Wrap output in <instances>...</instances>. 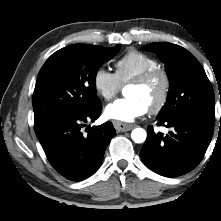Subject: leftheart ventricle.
Here are the masks:
<instances>
[{
  "instance_id": "obj_1",
  "label": "left heart ventricle",
  "mask_w": 221,
  "mask_h": 221,
  "mask_svg": "<svg viewBox=\"0 0 221 221\" xmlns=\"http://www.w3.org/2000/svg\"><path fill=\"white\" fill-rule=\"evenodd\" d=\"M162 82L160 78H155L143 86L129 85L126 89L128 97H135L143 101L149 108L158 99Z\"/></svg>"
}]
</instances>
